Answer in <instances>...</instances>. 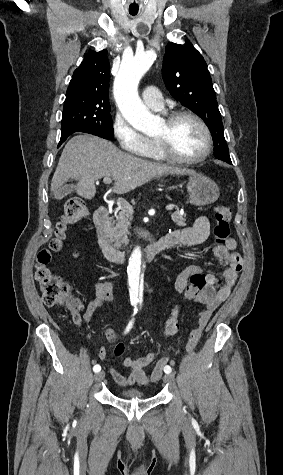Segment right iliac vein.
<instances>
[{
	"label": "right iliac vein",
	"mask_w": 283,
	"mask_h": 475,
	"mask_svg": "<svg viewBox=\"0 0 283 475\" xmlns=\"http://www.w3.org/2000/svg\"><path fill=\"white\" fill-rule=\"evenodd\" d=\"M104 371H100L95 375V380L96 381H101L104 378Z\"/></svg>",
	"instance_id": "63e3f726"
}]
</instances>
